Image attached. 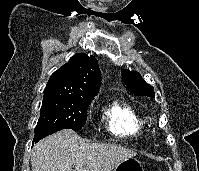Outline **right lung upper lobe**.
<instances>
[{"mask_svg": "<svg viewBox=\"0 0 199 171\" xmlns=\"http://www.w3.org/2000/svg\"><path fill=\"white\" fill-rule=\"evenodd\" d=\"M100 81L96 58L77 53L50 76L44 92L76 99H93L98 93Z\"/></svg>", "mask_w": 199, "mask_h": 171, "instance_id": "right-lung-upper-lobe-1", "label": "right lung upper lobe"}]
</instances>
